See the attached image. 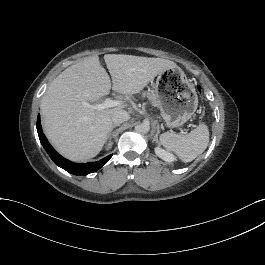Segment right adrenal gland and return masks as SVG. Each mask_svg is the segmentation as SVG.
<instances>
[{
	"mask_svg": "<svg viewBox=\"0 0 265 265\" xmlns=\"http://www.w3.org/2000/svg\"><path fill=\"white\" fill-rule=\"evenodd\" d=\"M120 126L119 124H116L113 126V128ZM113 128L111 130H113Z\"/></svg>",
	"mask_w": 265,
	"mask_h": 265,
	"instance_id": "obj_1",
	"label": "right adrenal gland"
}]
</instances>
